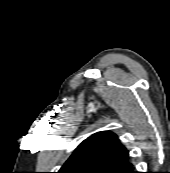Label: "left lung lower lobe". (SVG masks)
<instances>
[{
	"label": "left lung lower lobe",
	"mask_w": 170,
	"mask_h": 173,
	"mask_svg": "<svg viewBox=\"0 0 170 173\" xmlns=\"http://www.w3.org/2000/svg\"><path fill=\"white\" fill-rule=\"evenodd\" d=\"M121 173H136L132 164L127 166Z\"/></svg>",
	"instance_id": "obj_1"
}]
</instances>
